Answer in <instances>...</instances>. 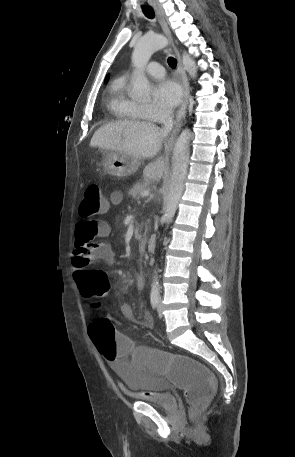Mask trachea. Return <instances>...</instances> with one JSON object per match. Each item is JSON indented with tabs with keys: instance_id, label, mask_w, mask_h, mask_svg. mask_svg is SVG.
<instances>
[{
	"instance_id": "3493384b",
	"label": "trachea",
	"mask_w": 295,
	"mask_h": 457,
	"mask_svg": "<svg viewBox=\"0 0 295 457\" xmlns=\"http://www.w3.org/2000/svg\"><path fill=\"white\" fill-rule=\"evenodd\" d=\"M144 15L150 19H153L154 18V11L152 9H149V8H143L142 9ZM168 64L171 68H175L176 65H177V61L175 58L173 57H168Z\"/></svg>"
}]
</instances>
